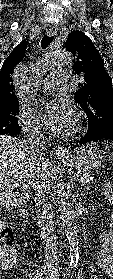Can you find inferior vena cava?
Segmentation results:
<instances>
[{"label":"inferior vena cava","mask_w":113,"mask_h":279,"mask_svg":"<svg viewBox=\"0 0 113 279\" xmlns=\"http://www.w3.org/2000/svg\"><path fill=\"white\" fill-rule=\"evenodd\" d=\"M28 148L36 155H42L44 150V137L38 127L34 126L28 133ZM35 191V206L38 216V226L41 230L43 244L45 246V267L48 273L56 274L58 262L51 259L57 254L56 232L53 222L52 204L50 202V189L48 177L45 174L38 173L37 179L33 184Z\"/></svg>","instance_id":"602c4592"}]
</instances>
